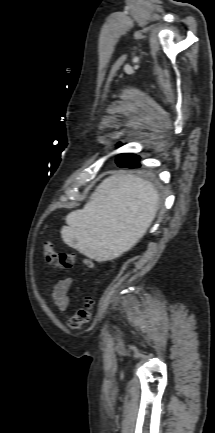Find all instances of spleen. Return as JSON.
Returning a JSON list of instances; mask_svg holds the SVG:
<instances>
[{"label":"spleen","mask_w":215,"mask_h":433,"mask_svg":"<svg viewBox=\"0 0 215 433\" xmlns=\"http://www.w3.org/2000/svg\"><path fill=\"white\" fill-rule=\"evenodd\" d=\"M159 194L151 183L133 175H113L96 189L82 210L66 216L65 244L105 261L133 247L155 218Z\"/></svg>","instance_id":"1"}]
</instances>
